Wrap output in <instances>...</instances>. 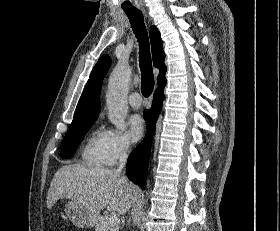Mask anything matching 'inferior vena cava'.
Here are the masks:
<instances>
[{
	"mask_svg": "<svg viewBox=\"0 0 280 231\" xmlns=\"http://www.w3.org/2000/svg\"><path fill=\"white\" fill-rule=\"evenodd\" d=\"M127 149H128L127 143H122V145L119 149V165L116 169L117 173H119V171H122L123 167H125V165H126Z\"/></svg>",
	"mask_w": 280,
	"mask_h": 231,
	"instance_id": "602c4592",
	"label": "inferior vena cava"
}]
</instances>
